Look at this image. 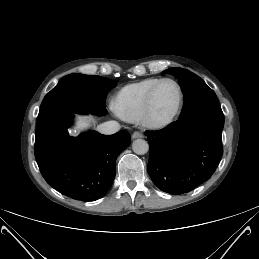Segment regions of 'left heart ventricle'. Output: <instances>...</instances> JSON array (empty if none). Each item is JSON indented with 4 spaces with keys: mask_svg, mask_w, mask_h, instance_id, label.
<instances>
[{
    "mask_svg": "<svg viewBox=\"0 0 259 259\" xmlns=\"http://www.w3.org/2000/svg\"><path fill=\"white\" fill-rule=\"evenodd\" d=\"M178 101L176 87L170 82L162 83L156 90L153 114L156 118H166L175 110Z\"/></svg>",
    "mask_w": 259,
    "mask_h": 259,
    "instance_id": "1",
    "label": "left heart ventricle"
}]
</instances>
